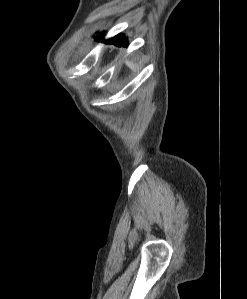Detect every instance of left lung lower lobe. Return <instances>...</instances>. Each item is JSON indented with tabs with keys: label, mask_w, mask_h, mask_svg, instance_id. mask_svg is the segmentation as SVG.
<instances>
[{
	"label": "left lung lower lobe",
	"mask_w": 247,
	"mask_h": 299,
	"mask_svg": "<svg viewBox=\"0 0 247 299\" xmlns=\"http://www.w3.org/2000/svg\"><path fill=\"white\" fill-rule=\"evenodd\" d=\"M96 40L103 41V36H97ZM105 43L115 44L116 46H124V47L127 46L126 38L123 37L121 34H118V35L114 36L113 38L106 40Z\"/></svg>",
	"instance_id": "0a47b994"
}]
</instances>
